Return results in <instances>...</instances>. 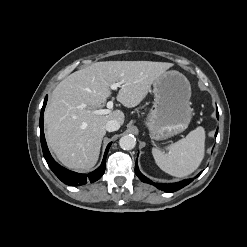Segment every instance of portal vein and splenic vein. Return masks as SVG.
<instances>
[{
    "label": "portal vein and splenic vein",
    "mask_w": 247,
    "mask_h": 247,
    "mask_svg": "<svg viewBox=\"0 0 247 247\" xmlns=\"http://www.w3.org/2000/svg\"><path fill=\"white\" fill-rule=\"evenodd\" d=\"M122 84H123V81L113 83V84H111L110 89L117 90L118 87L122 86ZM111 109H113V101H108L107 102V109H99V110H96L95 113L98 115H105V114L110 113Z\"/></svg>",
    "instance_id": "portal-vein-and-splenic-vein-1"
}]
</instances>
